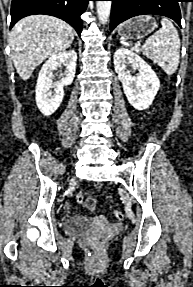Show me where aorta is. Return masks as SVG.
<instances>
[{
    "label": "aorta",
    "instance_id": "aorta-1",
    "mask_svg": "<svg viewBox=\"0 0 193 287\" xmlns=\"http://www.w3.org/2000/svg\"><path fill=\"white\" fill-rule=\"evenodd\" d=\"M111 1H97V15L101 24H105L110 16Z\"/></svg>",
    "mask_w": 193,
    "mask_h": 287
}]
</instances>
